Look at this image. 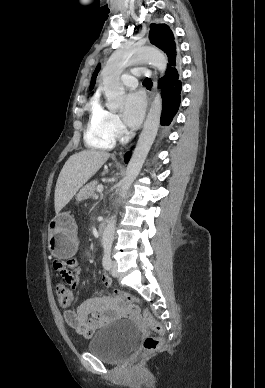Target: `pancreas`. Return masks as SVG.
I'll return each instance as SVG.
<instances>
[{
  "label": "pancreas",
  "mask_w": 265,
  "mask_h": 388,
  "mask_svg": "<svg viewBox=\"0 0 265 388\" xmlns=\"http://www.w3.org/2000/svg\"><path fill=\"white\" fill-rule=\"evenodd\" d=\"M96 186H98V182H90V184H86L84 188H81L76 196L77 202H82V200H88L91 196H95Z\"/></svg>",
  "instance_id": "cf45deb5"
}]
</instances>
